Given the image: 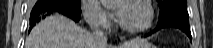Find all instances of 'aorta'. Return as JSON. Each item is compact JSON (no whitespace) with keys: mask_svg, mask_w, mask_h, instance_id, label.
<instances>
[{"mask_svg":"<svg viewBox=\"0 0 213 48\" xmlns=\"http://www.w3.org/2000/svg\"><path fill=\"white\" fill-rule=\"evenodd\" d=\"M113 2H114V0H102V3H104V4H111Z\"/></svg>","mask_w":213,"mask_h":48,"instance_id":"obj_1","label":"aorta"}]
</instances>
